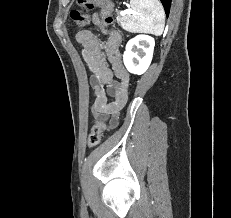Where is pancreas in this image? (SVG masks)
I'll use <instances>...</instances> for the list:
<instances>
[{
	"instance_id": "cf45deb5",
	"label": "pancreas",
	"mask_w": 231,
	"mask_h": 218,
	"mask_svg": "<svg viewBox=\"0 0 231 218\" xmlns=\"http://www.w3.org/2000/svg\"><path fill=\"white\" fill-rule=\"evenodd\" d=\"M122 18H120V17H117V22L119 23V24H122Z\"/></svg>"
}]
</instances>
